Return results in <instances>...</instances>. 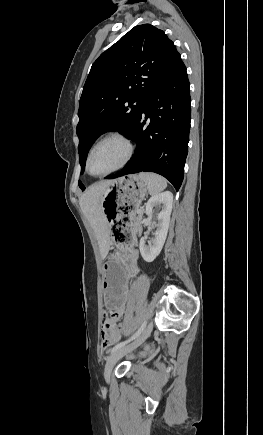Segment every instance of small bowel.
Here are the masks:
<instances>
[{
    "mask_svg": "<svg viewBox=\"0 0 263 435\" xmlns=\"http://www.w3.org/2000/svg\"><path fill=\"white\" fill-rule=\"evenodd\" d=\"M124 255L128 257V261L132 264L131 270H136L138 272V250L135 247H129L125 251L118 253L115 258L121 259ZM124 312L125 305H119L118 310H111V319L104 324L103 331L107 334L103 336V341L99 343V348L105 350L108 355H111L114 352V349L117 347L115 342L121 338V329L117 328V322L123 316Z\"/></svg>",
    "mask_w": 263,
    "mask_h": 435,
    "instance_id": "1",
    "label": "small bowel"
}]
</instances>
